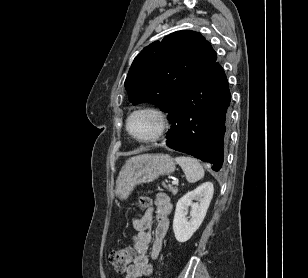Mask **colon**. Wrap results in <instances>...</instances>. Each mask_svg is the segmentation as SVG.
<instances>
[{"mask_svg":"<svg viewBox=\"0 0 308 278\" xmlns=\"http://www.w3.org/2000/svg\"><path fill=\"white\" fill-rule=\"evenodd\" d=\"M150 204L148 196L142 195L139 197L138 205L141 208H146ZM135 258V249L132 247H125L114 250L109 257L110 263L119 272H124L132 264Z\"/></svg>","mask_w":308,"mask_h":278,"instance_id":"colon-1","label":"colon"}]
</instances>
